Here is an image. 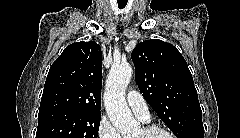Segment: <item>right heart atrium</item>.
Returning <instances> with one entry per match:
<instances>
[{"instance_id":"obj_1","label":"right heart atrium","mask_w":240,"mask_h":138,"mask_svg":"<svg viewBox=\"0 0 240 138\" xmlns=\"http://www.w3.org/2000/svg\"><path fill=\"white\" fill-rule=\"evenodd\" d=\"M97 138H121L118 130L112 125V123L103 117L97 127Z\"/></svg>"}]
</instances>
